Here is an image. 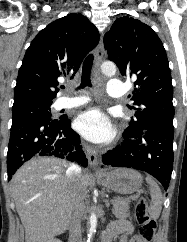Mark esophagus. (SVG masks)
Wrapping results in <instances>:
<instances>
[{
    "instance_id": "obj_1",
    "label": "esophagus",
    "mask_w": 187,
    "mask_h": 242,
    "mask_svg": "<svg viewBox=\"0 0 187 242\" xmlns=\"http://www.w3.org/2000/svg\"><path fill=\"white\" fill-rule=\"evenodd\" d=\"M104 56V44H103V37L100 38V41L98 43V46L96 48L95 52V64L96 66H99L102 62ZM85 152L89 161V165L95 172H100V166H99V159H98V153L97 151L90 145H85Z\"/></svg>"
}]
</instances>
